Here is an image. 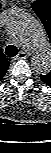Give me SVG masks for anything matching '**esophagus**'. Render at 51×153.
I'll return each mask as SVG.
<instances>
[{
    "mask_svg": "<svg viewBox=\"0 0 51 153\" xmlns=\"http://www.w3.org/2000/svg\"><path fill=\"white\" fill-rule=\"evenodd\" d=\"M26 57H27V53L24 51L19 52L18 55L16 56V58L18 59H24Z\"/></svg>",
    "mask_w": 51,
    "mask_h": 153,
    "instance_id": "obj_1",
    "label": "esophagus"
}]
</instances>
